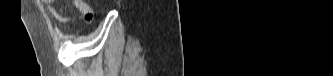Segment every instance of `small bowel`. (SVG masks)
Wrapping results in <instances>:
<instances>
[{"mask_svg":"<svg viewBox=\"0 0 333 76\" xmlns=\"http://www.w3.org/2000/svg\"><path fill=\"white\" fill-rule=\"evenodd\" d=\"M52 2L51 0H46V8L47 11L49 12V14H51L52 16H54L55 18H57L59 21L63 22V23H69L72 21V17L70 15H65V14H61L59 13L53 6H52ZM72 4L75 8H77L82 15L84 16V19L86 22H90L93 19V12L91 7L88 5L87 2L83 1V0H73Z\"/></svg>","mask_w":333,"mask_h":76,"instance_id":"obj_1","label":"small bowel"}]
</instances>
